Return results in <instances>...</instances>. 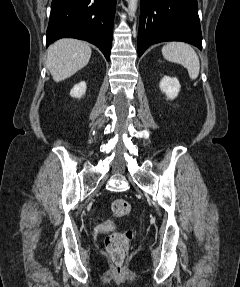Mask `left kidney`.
Segmentation results:
<instances>
[{"label": "left kidney", "mask_w": 240, "mask_h": 287, "mask_svg": "<svg viewBox=\"0 0 240 287\" xmlns=\"http://www.w3.org/2000/svg\"><path fill=\"white\" fill-rule=\"evenodd\" d=\"M159 87L168 99L173 100L178 96L181 86L178 79L164 76L160 81Z\"/></svg>", "instance_id": "1"}]
</instances>
